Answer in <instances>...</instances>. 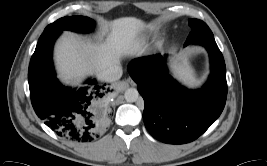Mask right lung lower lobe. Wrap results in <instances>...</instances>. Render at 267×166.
Returning <instances> with one entry per match:
<instances>
[{"mask_svg": "<svg viewBox=\"0 0 267 166\" xmlns=\"http://www.w3.org/2000/svg\"><path fill=\"white\" fill-rule=\"evenodd\" d=\"M62 31L46 30L31 57L28 81L37 116L57 135L74 142H90L110 120L108 87L88 80L80 88L63 86L56 78L52 48Z\"/></svg>", "mask_w": 267, "mask_h": 166, "instance_id": "98d812e1", "label": "right lung lower lobe"}]
</instances>
